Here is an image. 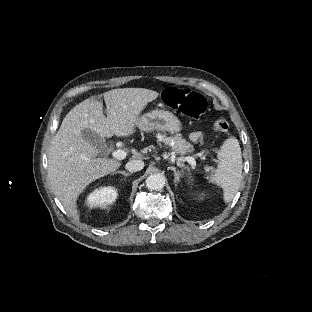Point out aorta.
<instances>
[{
  "instance_id": "aorta-1",
  "label": "aorta",
  "mask_w": 312,
  "mask_h": 312,
  "mask_svg": "<svg viewBox=\"0 0 312 312\" xmlns=\"http://www.w3.org/2000/svg\"><path fill=\"white\" fill-rule=\"evenodd\" d=\"M165 185V177L161 174H153L147 177L146 187L151 190H161Z\"/></svg>"
}]
</instances>
